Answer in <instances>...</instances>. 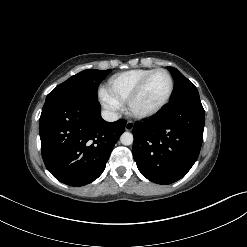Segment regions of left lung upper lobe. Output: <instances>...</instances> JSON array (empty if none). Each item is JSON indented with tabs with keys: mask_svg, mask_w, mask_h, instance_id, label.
Instances as JSON below:
<instances>
[{
	"mask_svg": "<svg viewBox=\"0 0 247 247\" xmlns=\"http://www.w3.org/2000/svg\"><path fill=\"white\" fill-rule=\"evenodd\" d=\"M175 81V91L170 102H175L189 97H199L197 88L176 68L167 67Z\"/></svg>",
	"mask_w": 247,
	"mask_h": 247,
	"instance_id": "obj_1",
	"label": "left lung upper lobe"
}]
</instances>
